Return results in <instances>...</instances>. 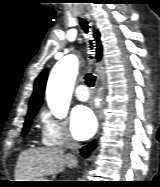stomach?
I'll list each match as a JSON object with an SVG mask.
<instances>
[{"mask_svg":"<svg viewBox=\"0 0 160 187\" xmlns=\"http://www.w3.org/2000/svg\"><path fill=\"white\" fill-rule=\"evenodd\" d=\"M31 181H50V180H46L45 178H43V179H34ZM26 185L31 187L49 186V182H30Z\"/></svg>","mask_w":160,"mask_h":187,"instance_id":"obj_1","label":"stomach"}]
</instances>
